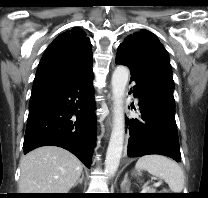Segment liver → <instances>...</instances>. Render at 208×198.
Returning a JSON list of instances; mask_svg holds the SVG:
<instances>
[{"label":"liver","mask_w":208,"mask_h":198,"mask_svg":"<svg viewBox=\"0 0 208 198\" xmlns=\"http://www.w3.org/2000/svg\"><path fill=\"white\" fill-rule=\"evenodd\" d=\"M20 193H68L82 173V164L69 151L39 147L21 159Z\"/></svg>","instance_id":"1"}]
</instances>
